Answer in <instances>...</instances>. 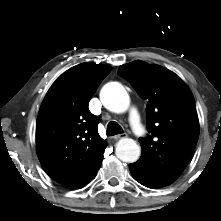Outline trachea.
I'll return each mask as SVG.
<instances>
[{"instance_id":"trachea-1","label":"trachea","mask_w":221,"mask_h":221,"mask_svg":"<svg viewBox=\"0 0 221 221\" xmlns=\"http://www.w3.org/2000/svg\"><path fill=\"white\" fill-rule=\"evenodd\" d=\"M123 133L122 127L115 121H111L107 125V136H114Z\"/></svg>"}]
</instances>
